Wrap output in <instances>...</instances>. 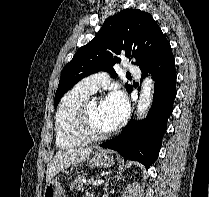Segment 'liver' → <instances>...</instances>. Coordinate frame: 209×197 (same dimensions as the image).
I'll use <instances>...</instances> for the list:
<instances>
[{
    "mask_svg": "<svg viewBox=\"0 0 209 197\" xmlns=\"http://www.w3.org/2000/svg\"><path fill=\"white\" fill-rule=\"evenodd\" d=\"M92 150V147H88L58 151L47 165L46 182H50L63 169L89 158Z\"/></svg>",
    "mask_w": 209,
    "mask_h": 197,
    "instance_id": "1",
    "label": "liver"
}]
</instances>
